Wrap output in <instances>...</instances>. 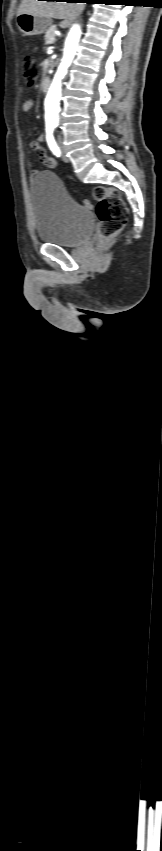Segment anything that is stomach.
Listing matches in <instances>:
<instances>
[{"instance_id":"stomach-1","label":"stomach","mask_w":162,"mask_h":851,"mask_svg":"<svg viewBox=\"0 0 162 851\" xmlns=\"http://www.w3.org/2000/svg\"><path fill=\"white\" fill-rule=\"evenodd\" d=\"M16 22L19 31L24 36L40 35L44 33L52 23L49 18L35 16L29 13L18 14Z\"/></svg>"}]
</instances>
